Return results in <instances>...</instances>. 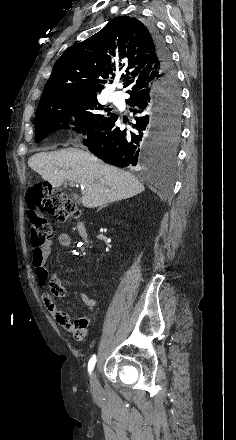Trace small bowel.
Wrapping results in <instances>:
<instances>
[{
	"mask_svg": "<svg viewBox=\"0 0 236 440\" xmlns=\"http://www.w3.org/2000/svg\"><path fill=\"white\" fill-rule=\"evenodd\" d=\"M57 241L60 246L68 247L71 245V236L68 233H60L57 237ZM52 245V241H47L43 245L35 247L32 253V265L35 269L37 280L42 288L48 290L43 292L42 301L47 311L59 323L60 330H67L72 333L77 340H83L87 334V330H90L92 327L89 316H81L77 319L79 321H61L64 319L70 320V318L67 313L58 308L53 299V296L65 297L66 284L57 273H54L51 278L48 279L45 262L51 253ZM80 298L89 311L94 309L96 300L90 297L87 292H81Z\"/></svg>",
	"mask_w": 236,
	"mask_h": 440,
	"instance_id": "obj_1",
	"label": "small bowel"
}]
</instances>
